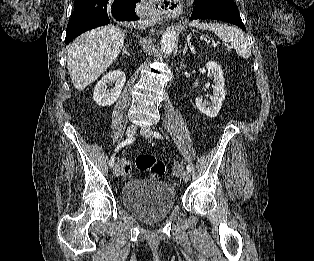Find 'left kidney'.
<instances>
[{
    "instance_id": "5707ae66",
    "label": "left kidney",
    "mask_w": 314,
    "mask_h": 261,
    "mask_svg": "<svg viewBox=\"0 0 314 261\" xmlns=\"http://www.w3.org/2000/svg\"><path fill=\"white\" fill-rule=\"evenodd\" d=\"M206 68L208 76H211L214 80V85L212 86L214 94L210 97L211 102L203 101L202 98L197 97L195 103L200 112L210 118H214L218 115L226 95L224 76L221 67L214 61L207 62Z\"/></svg>"
}]
</instances>
